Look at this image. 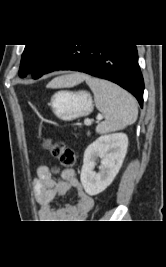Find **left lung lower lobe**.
<instances>
[{"mask_svg": "<svg viewBox=\"0 0 166 267\" xmlns=\"http://www.w3.org/2000/svg\"><path fill=\"white\" fill-rule=\"evenodd\" d=\"M58 70L84 72L112 81L143 105L144 81L135 45H63L42 75Z\"/></svg>", "mask_w": 166, "mask_h": 267, "instance_id": "left-lung-lower-lobe-1", "label": "left lung lower lobe"}]
</instances>
